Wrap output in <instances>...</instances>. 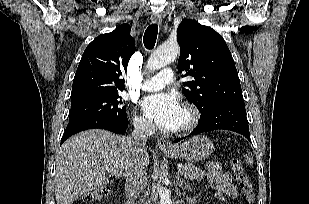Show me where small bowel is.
Here are the masks:
<instances>
[{
	"label": "small bowel",
	"mask_w": 309,
	"mask_h": 204,
	"mask_svg": "<svg viewBox=\"0 0 309 204\" xmlns=\"http://www.w3.org/2000/svg\"><path fill=\"white\" fill-rule=\"evenodd\" d=\"M207 170L210 185L217 192V197L219 199L225 197L235 198L237 196V190L232 183L231 174L229 172H224L219 163H208Z\"/></svg>",
	"instance_id": "obj_1"
}]
</instances>
